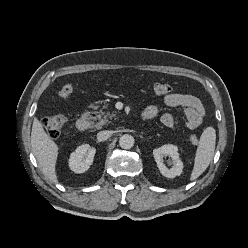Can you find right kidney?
<instances>
[{"label":"right kidney","instance_id":"right-kidney-1","mask_svg":"<svg viewBox=\"0 0 248 248\" xmlns=\"http://www.w3.org/2000/svg\"><path fill=\"white\" fill-rule=\"evenodd\" d=\"M96 149L89 144L79 146L69 158V167L75 173H84L93 163Z\"/></svg>","mask_w":248,"mask_h":248}]
</instances>
